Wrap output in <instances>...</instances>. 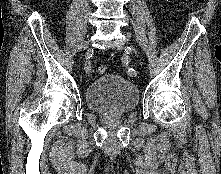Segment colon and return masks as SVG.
<instances>
[{"label": "colon", "mask_w": 221, "mask_h": 174, "mask_svg": "<svg viewBox=\"0 0 221 174\" xmlns=\"http://www.w3.org/2000/svg\"><path fill=\"white\" fill-rule=\"evenodd\" d=\"M97 72L99 74H104L107 72V67L105 65H100L98 68H97Z\"/></svg>", "instance_id": "1"}]
</instances>
